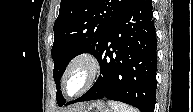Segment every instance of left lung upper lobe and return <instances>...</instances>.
Segmentation results:
<instances>
[{"instance_id":"obj_1","label":"left lung upper lobe","mask_w":193,"mask_h":112,"mask_svg":"<svg viewBox=\"0 0 193 112\" xmlns=\"http://www.w3.org/2000/svg\"><path fill=\"white\" fill-rule=\"evenodd\" d=\"M133 0H62L54 23L51 55L57 87V103L66 104L60 91V78L68 63L78 54L97 57L112 26Z\"/></svg>"}]
</instances>
